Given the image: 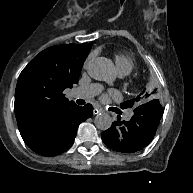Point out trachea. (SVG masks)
<instances>
[{
	"mask_svg": "<svg viewBox=\"0 0 193 193\" xmlns=\"http://www.w3.org/2000/svg\"><path fill=\"white\" fill-rule=\"evenodd\" d=\"M85 102L82 100V99H78L77 100V104H79V105H83Z\"/></svg>",
	"mask_w": 193,
	"mask_h": 193,
	"instance_id": "trachea-1",
	"label": "trachea"
}]
</instances>
